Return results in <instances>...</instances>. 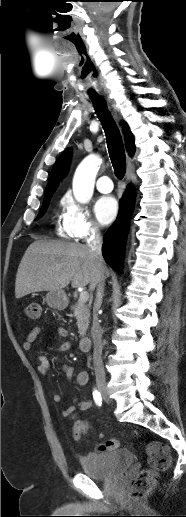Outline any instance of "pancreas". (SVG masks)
<instances>
[{
  "mask_svg": "<svg viewBox=\"0 0 186 517\" xmlns=\"http://www.w3.org/2000/svg\"><path fill=\"white\" fill-rule=\"evenodd\" d=\"M71 310L77 319L78 333L84 337L90 323V305L78 301L71 306Z\"/></svg>",
  "mask_w": 186,
  "mask_h": 517,
  "instance_id": "obj_1",
  "label": "pancreas"
}]
</instances>
